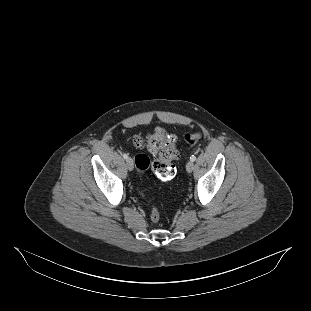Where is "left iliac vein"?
<instances>
[{
	"mask_svg": "<svg viewBox=\"0 0 311 311\" xmlns=\"http://www.w3.org/2000/svg\"><path fill=\"white\" fill-rule=\"evenodd\" d=\"M186 170L188 173H191L194 170V163L192 161L187 163Z\"/></svg>",
	"mask_w": 311,
	"mask_h": 311,
	"instance_id": "obj_1",
	"label": "left iliac vein"
}]
</instances>
